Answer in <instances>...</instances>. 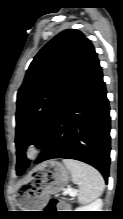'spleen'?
Masks as SVG:
<instances>
[{"mask_svg": "<svg viewBox=\"0 0 123 219\" xmlns=\"http://www.w3.org/2000/svg\"><path fill=\"white\" fill-rule=\"evenodd\" d=\"M71 173L73 183L79 186L78 200L87 204L98 198L104 190V179L93 167L72 159H63Z\"/></svg>", "mask_w": 123, "mask_h": 219, "instance_id": "3e777b00", "label": "spleen"}]
</instances>
